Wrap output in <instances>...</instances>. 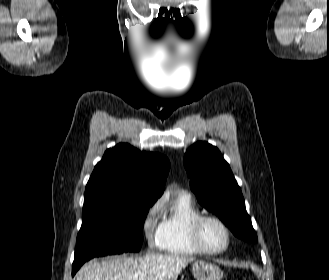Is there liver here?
Segmentation results:
<instances>
[{
	"instance_id": "liver-1",
	"label": "liver",
	"mask_w": 329,
	"mask_h": 280,
	"mask_svg": "<svg viewBox=\"0 0 329 280\" xmlns=\"http://www.w3.org/2000/svg\"><path fill=\"white\" fill-rule=\"evenodd\" d=\"M192 261V257L153 253L94 260L78 271L75 280H176Z\"/></svg>"
}]
</instances>
